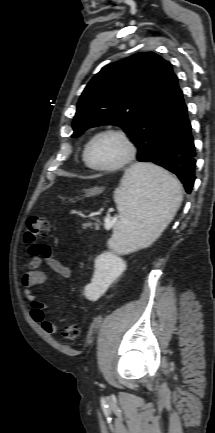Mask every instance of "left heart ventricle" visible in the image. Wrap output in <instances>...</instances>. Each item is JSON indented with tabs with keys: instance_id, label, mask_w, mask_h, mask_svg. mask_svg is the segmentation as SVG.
Returning <instances> with one entry per match:
<instances>
[{
	"instance_id": "1",
	"label": "left heart ventricle",
	"mask_w": 215,
	"mask_h": 433,
	"mask_svg": "<svg viewBox=\"0 0 215 433\" xmlns=\"http://www.w3.org/2000/svg\"><path fill=\"white\" fill-rule=\"evenodd\" d=\"M125 152V145L119 137L104 135L90 147L89 159L97 166H111L121 161Z\"/></svg>"
}]
</instances>
